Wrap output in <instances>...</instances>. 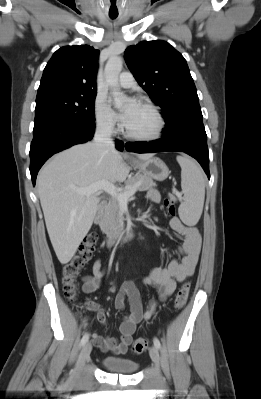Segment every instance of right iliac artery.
Returning a JSON list of instances; mask_svg holds the SVG:
<instances>
[{
  "mask_svg": "<svg viewBox=\"0 0 261 399\" xmlns=\"http://www.w3.org/2000/svg\"><path fill=\"white\" fill-rule=\"evenodd\" d=\"M88 339H89V335H88V334H85V335L82 337V339H81L80 345L83 346L84 344H86V342L88 341Z\"/></svg>",
  "mask_w": 261,
  "mask_h": 399,
  "instance_id": "82829eb1",
  "label": "right iliac artery"
}]
</instances>
